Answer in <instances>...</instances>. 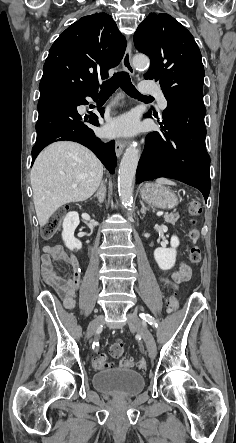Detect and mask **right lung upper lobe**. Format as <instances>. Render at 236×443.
<instances>
[{
    "label": "right lung upper lobe",
    "mask_w": 236,
    "mask_h": 443,
    "mask_svg": "<svg viewBox=\"0 0 236 443\" xmlns=\"http://www.w3.org/2000/svg\"><path fill=\"white\" fill-rule=\"evenodd\" d=\"M125 49V38L110 15L81 17L51 46L39 90H98V77L108 78V70L119 64Z\"/></svg>",
    "instance_id": "right-lung-upper-lobe-1"
}]
</instances>
